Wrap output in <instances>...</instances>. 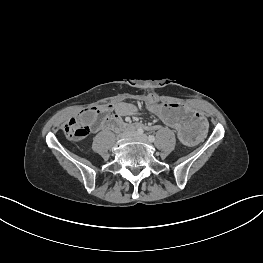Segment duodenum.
Wrapping results in <instances>:
<instances>
[{
  "mask_svg": "<svg viewBox=\"0 0 263 263\" xmlns=\"http://www.w3.org/2000/svg\"><path fill=\"white\" fill-rule=\"evenodd\" d=\"M106 126L109 129H122V130H138L143 129L145 126L139 123H125L117 117H110L107 120Z\"/></svg>",
  "mask_w": 263,
  "mask_h": 263,
  "instance_id": "obj_1",
  "label": "duodenum"
}]
</instances>
